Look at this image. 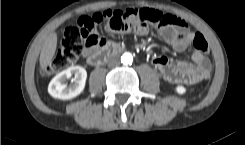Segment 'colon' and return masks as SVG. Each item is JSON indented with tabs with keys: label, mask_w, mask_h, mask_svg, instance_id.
Instances as JSON below:
<instances>
[{
	"label": "colon",
	"mask_w": 245,
	"mask_h": 145,
	"mask_svg": "<svg viewBox=\"0 0 245 145\" xmlns=\"http://www.w3.org/2000/svg\"><path fill=\"white\" fill-rule=\"evenodd\" d=\"M177 21L171 15L146 8L105 9L95 12L91 16H80L66 25L56 55L51 63L44 67L43 72L50 75L63 70L83 52L84 47H98L100 39L93 32V27L102 22H107L111 28L129 31L148 29L151 26L171 27ZM192 44L200 54H208V43L201 34L194 36ZM202 74L204 77H208V67H204Z\"/></svg>",
	"instance_id": "1"
}]
</instances>
